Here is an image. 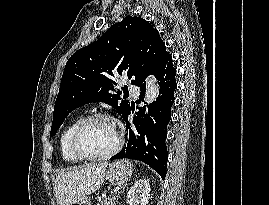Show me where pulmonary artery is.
I'll return each mask as SVG.
<instances>
[{
    "mask_svg": "<svg viewBox=\"0 0 269 205\" xmlns=\"http://www.w3.org/2000/svg\"><path fill=\"white\" fill-rule=\"evenodd\" d=\"M129 90H130V92H131L133 95H135V96H138V95H139V90H138L135 86L130 85V86H129Z\"/></svg>",
    "mask_w": 269,
    "mask_h": 205,
    "instance_id": "e3ab8cb5",
    "label": "pulmonary artery"
}]
</instances>
